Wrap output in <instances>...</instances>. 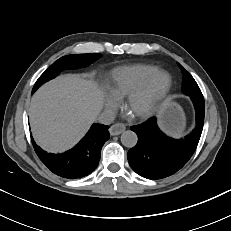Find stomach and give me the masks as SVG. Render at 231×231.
Returning <instances> with one entry per match:
<instances>
[{"label": "stomach", "instance_id": "0dacf381", "mask_svg": "<svg viewBox=\"0 0 231 231\" xmlns=\"http://www.w3.org/2000/svg\"><path fill=\"white\" fill-rule=\"evenodd\" d=\"M160 127L169 135L179 137L185 127V116L181 107L172 99L166 100L158 113Z\"/></svg>", "mask_w": 231, "mask_h": 231}]
</instances>
